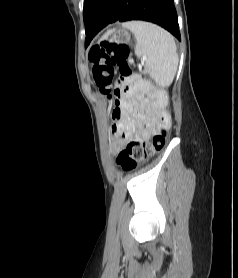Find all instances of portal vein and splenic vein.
<instances>
[{"instance_id":"portal-vein-and-splenic-vein-1","label":"portal vein and splenic vein","mask_w":238,"mask_h":278,"mask_svg":"<svg viewBox=\"0 0 238 278\" xmlns=\"http://www.w3.org/2000/svg\"><path fill=\"white\" fill-rule=\"evenodd\" d=\"M144 60H145V57L142 58V61H144Z\"/></svg>"}]
</instances>
